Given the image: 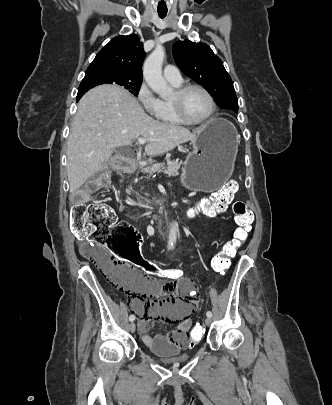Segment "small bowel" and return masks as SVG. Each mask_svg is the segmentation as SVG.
Returning <instances> with one entry per match:
<instances>
[{
    "instance_id": "c3829d8e",
    "label": "small bowel",
    "mask_w": 332,
    "mask_h": 405,
    "mask_svg": "<svg viewBox=\"0 0 332 405\" xmlns=\"http://www.w3.org/2000/svg\"><path fill=\"white\" fill-rule=\"evenodd\" d=\"M96 177L95 173H90L86 185L94 186ZM121 288L134 295L130 305L139 318L141 338L147 347L155 349L156 353H189L187 344L190 340L184 337L192 328L189 316L200 305V298L195 297L190 281L182 278L181 282L163 285L144 277L139 270L123 267ZM155 319L168 321L166 334L154 337L148 334Z\"/></svg>"
}]
</instances>
